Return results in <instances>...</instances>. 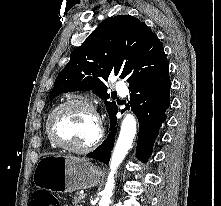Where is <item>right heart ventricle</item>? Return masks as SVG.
I'll return each instance as SVG.
<instances>
[{"mask_svg":"<svg viewBox=\"0 0 221 206\" xmlns=\"http://www.w3.org/2000/svg\"><path fill=\"white\" fill-rule=\"evenodd\" d=\"M46 124H47V122H46ZM45 129H46V134H47V128H46V125H45ZM47 137H48V134H47ZM48 140H49V142H50V144H51L52 147H56V146L50 141L49 137H48Z\"/></svg>","mask_w":221,"mask_h":206,"instance_id":"e07e8e85","label":"right heart ventricle"}]
</instances>
